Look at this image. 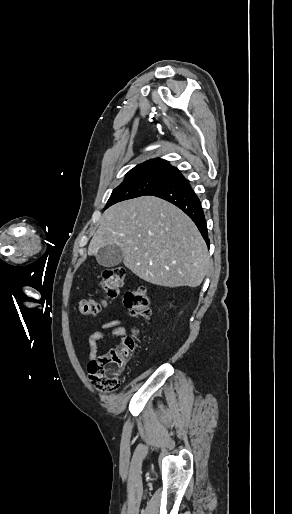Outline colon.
Returning a JSON list of instances; mask_svg holds the SVG:
<instances>
[{
  "instance_id": "obj_1",
  "label": "colon",
  "mask_w": 292,
  "mask_h": 514,
  "mask_svg": "<svg viewBox=\"0 0 292 514\" xmlns=\"http://www.w3.org/2000/svg\"><path fill=\"white\" fill-rule=\"evenodd\" d=\"M125 270L121 267L109 268L102 272L99 280L102 295L98 299L84 296L79 301V311L83 316L96 315L108 300L115 298L124 286ZM125 305L136 320L149 318L150 293L145 286L131 288L125 296ZM135 346V336L123 339L121 347H113L103 352L96 360L88 363V377L100 392L115 393L119 389V377L124 370Z\"/></svg>"
}]
</instances>
